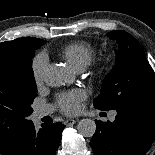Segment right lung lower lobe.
I'll return each instance as SVG.
<instances>
[{"label": "right lung lower lobe", "instance_id": "obj_1", "mask_svg": "<svg viewBox=\"0 0 155 155\" xmlns=\"http://www.w3.org/2000/svg\"><path fill=\"white\" fill-rule=\"evenodd\" d=\"M64 127L58 122L35 130L32 122L12 143L0 147V155H55Z\"/></svg>", "mask_w": 155, "mask_h": 155}]
</instances>
